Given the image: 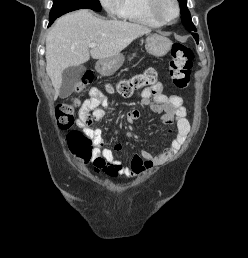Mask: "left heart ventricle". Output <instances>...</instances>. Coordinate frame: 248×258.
<instances>
[{
	"mask_svg": "<svg viewBox=\"0 0 248 258\" xmlns=\"http://www.w3.org/2000/svg\"><path fill=\"white\" fill-rule=\"evenodd\" d=\"M158 11L166 19H172L176 12L172 0H159Z\"/></svg>",
	"mask_w": 248,
	"mask_h": 258,
	"instance_id": "b2bd125f",
	"label": "left heart ventricle"
}]
</instances>
